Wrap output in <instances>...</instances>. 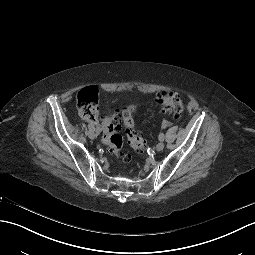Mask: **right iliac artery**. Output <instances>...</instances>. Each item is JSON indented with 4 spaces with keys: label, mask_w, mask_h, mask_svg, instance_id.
<instances>
[{
    "label": "right iliac artery",
    "mask_w": 255,
    "mask_h": 255,
    "mask_svg": "<svg viewBox=\"0 0 255 255\" xmlns=\"http://www.w3.org/2000/svg\"><path fill=\"white\" fill-rule=\"evenodd\" d=\"M89 130H95L94 126L92 124H88Z\"/></svg>",
    "instance_id": "right-iliac-artery-1"
}]
</instances>
